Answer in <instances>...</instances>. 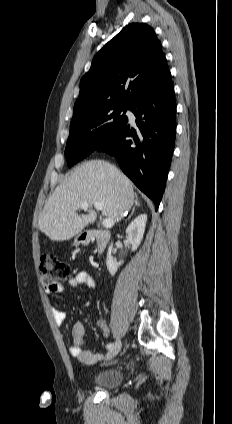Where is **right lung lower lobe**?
Returning a JSON list of instances; mask_svg holds the SVG:
<instances>
[{"instance_id": "obj_1", "label": "right lung lower lobe", "mask_w": 232, "mask_h": 424, "mask_svg": "<svg viewBox=\"0 0 232 424\" xmlns=\"http://www.w3.org/2000/svg\"><path fill=\"white\" fill-rule=\"evenodd\" d=\"M130 110L136 116L138 132L127 123L96 150L116 157L122 171L153 200L157 210L166 186L176 133V102L170 72L131 105Z\"/></svg>"}]
</instances>
